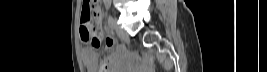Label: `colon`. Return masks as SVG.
Here are the masks:
<instances>
[{
  "label": "colon",
  "instance_id": "obj_1",
  "mask_svg": "<svg viewBox=\"0 0 267 72\" xmlns=\"http://www.w3.org/2000/svg\"><path fill=\"white\" fill-rule=\"evenodd\" d=\"M101 16L102 10L97 1H84L81 13L80 35L83 41L90 42L94 47L102 45Z\"/></svg>",
  "mask_w": 267,
  "mask_h": 72
}]
</instances>
